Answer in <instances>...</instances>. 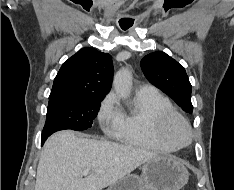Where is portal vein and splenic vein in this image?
<instances>
[{
    "mask_svg": "<svg viewBox=\"0 0 234 190\" xmlns=\"http://www.w3.org/2000/svg\"><path fill=\"white\" fill-rule=\"evenodd\" d=\"M90 173V170L89 169H86L83 171V175H88Z\"/></svg>",
    "mask_w": 234,
    "mask_h": 190,
    "instance_id": "obj_1",
    "label": "portal vein and splenic vein"
}]
</instances>
